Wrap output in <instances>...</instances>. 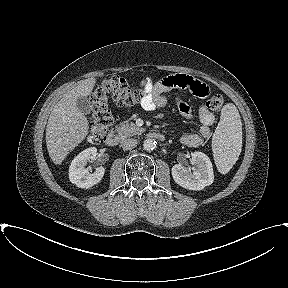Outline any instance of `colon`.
Wrapping results in <instances>:
<instances>
[{"mask_svg":"<svg viewBox=\"0 0 288 288\" xmlns=\"http://www.w3.org/2000/svg\"><path fill=\"white\" fill-rule=\"evenodd\" d=\"M146 95L144 88H132L120 76H110L97 86L91 95L92 122L89 128V140L92 143L103 142L109 127L113 122L108 107L109 99L120 106L130 107L140 103ZM224 100L221 95H214L207 107L211 110H220Z\"/></svg>","mask_w":288,"mask_h":288,"instance_id":"obj_1","label":"colon"}]
</instances>
